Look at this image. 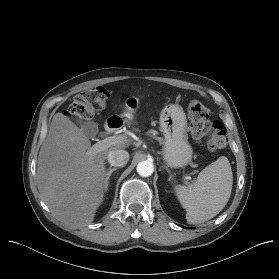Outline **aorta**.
<instances>
[{
    "label": "aorta",
    "instance_id": "762f6f07",
    "mask_svg": "<svg viewBox=\"0 0 279 279\" xmlns=\"http://www.w3.org/2000/svg\"><path fill=\"white\" fill-rule=\"evenodd\" d=\"M137 173L142 176V177H148L150 176L153 171H154V166L153 163L146 160V161H141L137 164Z\"/></svg>",
    "mask_w": 279,
    "mask_h": 279
}]
</instances>
